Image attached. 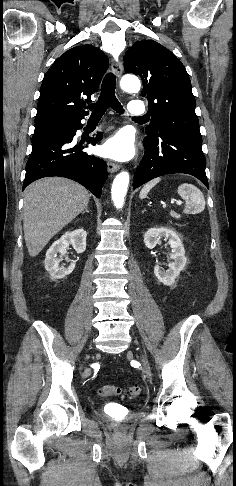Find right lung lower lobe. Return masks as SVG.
Segmentation results:
<instances>
[{"mask_svg":"<svg viewBox=\"0 0 236 486\" xmlns=\"http://www.w3.org/2000/svg\"><path fill=\"white\" fill-rule=\"evenodd\" d=\"M83 118L58 119L34 131L23 189L37 179L61 176L77 181L100 198L107 179L106 163L83 152L82 143L74 141L76 131L82 128L80 121ZM101 138L102 133H98L90 142L95 145Z\"/></svg>","mask_w":236,"mask_h":486,"instance_id":"right-lung-lower-lobe-1","label":"right lung lower lobe"}]
</instances>
